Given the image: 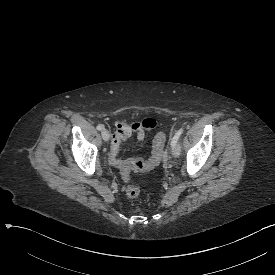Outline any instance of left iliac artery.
Masks as SVG:
<instances>
[{"instance_id": "obj_1", "label": "left iliac artery", "mask_w": 275, "mask_h": 275, "mask_svg": "<svg viewBox=\"0 0 275 275\" xmlns=\"http://www.w3.org/2000/svg\"><path fill=\"white\" fill-rule=\"evenodd\" d=\"M183 131H184L183 128H181V129H179V130L177 131V133L174 135V137H173L172 140H171V146H174V145L177 144V142H178V140H179L181 134L183 133Z\"/></svg>"}]
</instances>
